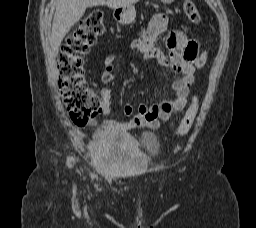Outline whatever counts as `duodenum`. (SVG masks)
Segmentation results:
<instances>
[{"label": "duodenum", "instance_id": "1", "mask_svg": "<svg viewBox=\"0 0 256 228\" xmlns=\"http://www.w3.org/2000/svg\"><path fill=\"white\" fill-rule=\"evenodd\" d=\"M121 11H122L121 9H117V12H119V13H120Z\"/></svg>", "mask_w": 256, "mask_h": 228}]
</instances>
